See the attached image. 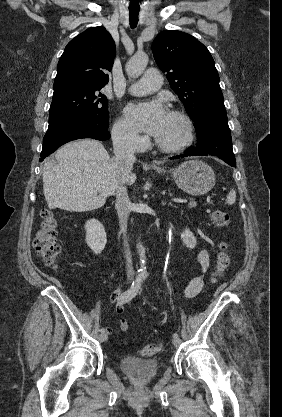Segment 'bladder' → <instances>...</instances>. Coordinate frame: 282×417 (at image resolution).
Instances as JSON below:
<instances>
[{"label":"bladder","mask_w":282,"mask_h":417,"mask_svg":"<svg viewBox=\"0 0 282 417\" xmlns=\"http://www.w3.org/2000/svg\"><path fill=\"white\" fill-rule=\"evenodd\" d=\"M119 368L123 374L138 384H147L159 373L157 359H144L135 356H123Z\"/></svg>","instance_id":"bladder-1"}]
</instances>
